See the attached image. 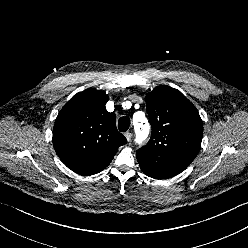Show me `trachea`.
Segmentation results:
<instances>
[{"mask_svg": "<svg viewBox=\"0 0 248 248\" xmlns=\"http://www.w3.org/2000/svg\"><path fill=\"white\" fill-rule=\"evenodd\" d=\"M130 126V119L128 117H121L118 121V129L120 132H125Z\"/></svg>", "mask_w": 248, "mask_h": 248, "instance_id": "trachea-1", "label": "trachea"}]
</instances>
